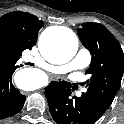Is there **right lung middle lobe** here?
I'll list each match as a JSON object with an SVG mask.
<instances>
[{
    "mask_svg": "<svg viewBox=\"0 0 124 124\" xmlns=\"http://www.w3.org/2000/svg\"><path fill=\"white\" fill-rule=\"evenodd\" d=\"M10 53V45L4 39H0V58H6Z\"/></svg>",
    "mask_w": 124,
    "mask_h": 124,
    "instance_id": "right-lung-middle-lobe-1",
    "label": "right lung middle lobe"
}]
</instances>
